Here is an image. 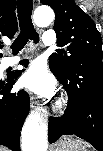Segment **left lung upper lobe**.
<instances>
[{
	"instance_id": "obj_1",
	"label": "left lung upper lobe",
	"mask_w": 103,
	"mask_h": 151,
	"mask_svg": "<svg viewBox=\"0 0 103 151\" xmlns=\"http://www.w3.org/2000/svg\"><path fill=\"white\" fill-rule=\"evenodd\" d=\"M55 12L57 46L49 57L50 69L66 76L91 56L103 57L102 40L93 20L73 0H41Z\"/></svg>"
}]
</instances>
